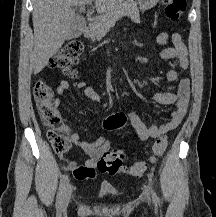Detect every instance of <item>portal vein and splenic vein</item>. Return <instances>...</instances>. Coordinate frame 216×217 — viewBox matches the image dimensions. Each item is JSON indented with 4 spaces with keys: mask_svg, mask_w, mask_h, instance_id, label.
I'll return each instance as SVG.
<instances>
[{
    "mask_svg": "<svg viewBox=\"0 0 216 217\" xmlns=\"http://www.w3.org/2000/svg\"><path fill=\"white\" fill-rule=\"evenodd\" d=\"M92 2H93V0H85V3H86V4H89V5H91Z\"/></svg>",
    "mask_w": 216,
    "mask_h": 217,
    "instance_id": "1",
    "label": "portal vein and splenic vein"
}]
</instances>
